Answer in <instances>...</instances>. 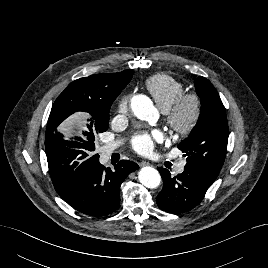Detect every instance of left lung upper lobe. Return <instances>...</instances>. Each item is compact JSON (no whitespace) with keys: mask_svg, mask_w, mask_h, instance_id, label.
I'll return each instance as SVG.
<instances>
[{"mask_svg":"<svg viewBox=\"0 0 268 268\" xmlns=\"http://www.w3.org/2000/svg\"><path fill=\"white\" fill-rule=\"evenodd\" d=\"M201 98V112L197 124L178 148L188 156L185 168L197 171L215 181L224 163L228 123L225 107L214 86L204 77L195 79Z\"/></svg>","mask_w":268,"mask_h":268,"instance_id":"left-lung-upper-lobe-1","label":"left lung upper lobe"}]
</instances>
